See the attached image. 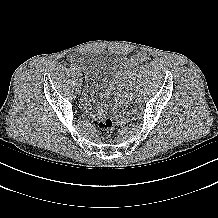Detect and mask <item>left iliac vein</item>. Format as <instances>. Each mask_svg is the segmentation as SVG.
Instances as JSON below:
<instances>
[{
  "mask_svg": "<svg viewBox=\"0 0 218 218\" xmlns=\"http://www.w3.org/2000/svg\"><path fill=\"white\" fill-rule=\"evenodd\" d=\"M132 96H133V94L130 93V94H129V97H128V100H129V101H132V100H133V97H132Z\"/></svg>",
  "mask_w": 218,
  "mask_h": 218,
  "instance_id": "4c4485c4",
  "label": "left iliac vein"
}]
</instances>
